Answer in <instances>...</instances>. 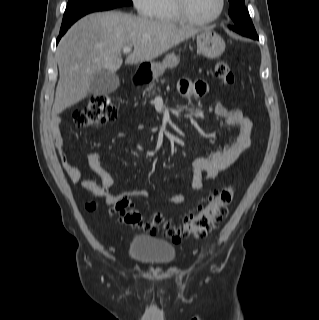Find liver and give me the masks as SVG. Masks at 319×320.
<instances>
[{"label": "liver", "instance_id": "1", "mask_svg": "<svg viewBox=\"0 0 319 320\" xmlns=\"http://www.w3.org/2000/svg\"><path fill=\"white\" fill-rule=\"evenodd\" d=\"M199 31L191 26L115 11L81 18L57 48L59 81L52 116L83 100L95 74L119 70L124 47H134L125 64H139L152 61Z\"/></svg>", "mask_w": 319, "mask_h": 320}]
</instances>
